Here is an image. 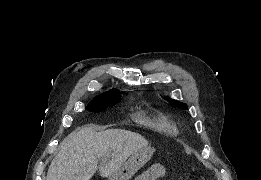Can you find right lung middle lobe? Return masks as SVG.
Listing matches in <instances>:
<instances>
[{
    "mask_svg": "<svg viewBox=\"0 0 261 180\" xmlns=\"http://www.w3.org/2000/svg\"><path fill=\"white\" fill-rule=\"evenodd\" d=\"M120 97L117 98H106V99H94L87 107L89 111L100 112L105 110L107 107L114 106L120 101Z\"/></svg>",
    "mask_w": 261,
    "mask_h": 180,
    "instance_id": "obj_1",
    "label": "right lung middle lobe"
}]
</instances>
